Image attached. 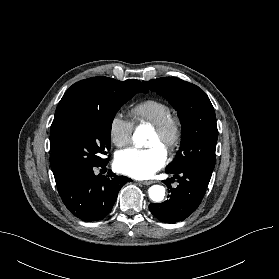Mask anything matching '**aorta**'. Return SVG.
Listing matches in <instances>:
<instances>
[{
    "label": "aorta",
    "mask_w": 279,
    "mask_h": 279,
    "mask_svg": "<svg viewBox=\"0 0 279 279\" xmlns=\"http://www.w3.org/2000/svg\"><path fill=\"white\" fill-rule=\"evenodd\" d=\"M147 139L145 132L138 128L133 134V141L138 146H143ZM165 196V188L161 185H153L149 188V197L154 202H161Z\"/></svg>",
    "instance_id": "1"
}]
</instances>
